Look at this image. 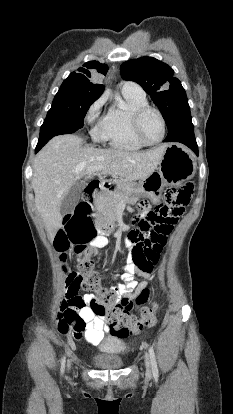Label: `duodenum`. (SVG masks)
<instances>
[{"mask_svg": "<svg viewBox=\"0 0 233 414\" xmlns=\"http://www.w3.org/2000/svg\"><path fill=\"white\" fill-rule=\"evenodd\" d=\"M101 189H105L108 191H115L117 189V185L113 182H108V181H93L91 183H89L87 186L84 187V192L86 193V195L83 196L82 198V203L84 204V206H89V204H96L97 203V199H98V195H99V190ZM95 219H101L102 218V213L101 212H96L95 213ZM98 227L101 231L103 232H107L110 231L114 228L117 227V224L114 222H106V221H101L98 224Z\"/></svg>", "mask_w": 233, "mask_h": 414, "instance_id": "duodenum-1", "label": "duodenum"}]
</instances>
